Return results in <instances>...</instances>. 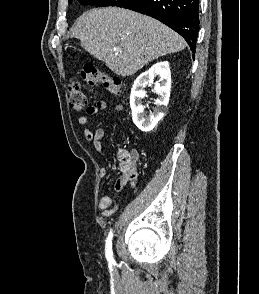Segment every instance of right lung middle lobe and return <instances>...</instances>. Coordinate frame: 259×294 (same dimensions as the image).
Returning <instances> with one entry per match:
<instances>
[{
	"instance_id": "obj_1",
	"label": "right lung middle lobe",
	"mask_w": 259,
	"mask_h": 294,
	"mask_svg": "<svg viewBox=\"0 0 259 294\" xmlns=\"http://www.w3.org/2000/svg\"><path fill=\"white\" fill-rule=\"evenodd\" d=\"M83 5H96V7L118 6L122 7L130 0H78ZM72 0H69L71 3Z\"/></svg>"
}]
</instances>
